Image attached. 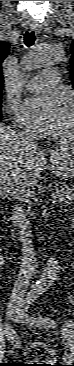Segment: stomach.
Wrapping results in <instances>:
<instances>
[{
  "instance_id": "obj_1",
  "label": "stomach",
  "mask_w": 74,
  "mask_h": 366,
  "mask_svg": "<svg viewBox=\"0 0 74 366\" xmlns=\"http://www.w3.org/2000/svg\"><path fill=\"white\" fill-rule=\"evenodd\" d=\"M51 161L57 176L62 179L73 177L74 158L71 154L58 151L51 157Z\"/></svg>"
}]
</instances>
